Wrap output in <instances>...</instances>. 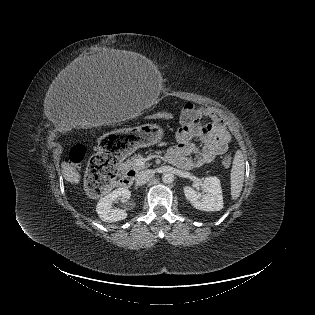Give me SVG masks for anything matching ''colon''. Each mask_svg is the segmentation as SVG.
<instances>
[{
	"label": "colon",
	"mask_w": 315,
	"mask_h": 315,
	"mask_svg": "<svg viewBox=\"0 0 315 315\" xmlns=\"http://www.w3.org/2000/svg\"><path fill=\"white\" fill-rule=\"evenodd\" d=\"M170 113H161L156 116L158 119H169ZM86 148L83 145H75L70 152V161L79 164L85 157ZM232 159L226 156L222 159L224 167L231 165ZM118 168L115 158L105 156L103 153L95 155L88 166L85 183L87 190L94 196L104 194L113 184L117 177Z\"/></svg>",
	"instance_id": "1"
}]
</instances>
